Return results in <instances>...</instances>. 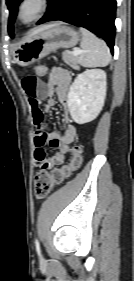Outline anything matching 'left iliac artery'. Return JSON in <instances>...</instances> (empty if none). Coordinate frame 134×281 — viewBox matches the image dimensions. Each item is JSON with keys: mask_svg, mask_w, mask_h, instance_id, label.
Segmentation results:
<instances>
[{"mask_svg": "<svg viewBox=\"0 0 134 281\" xmlns=\"http://www.w3.org/2000/svg\"><path fill=\"white\" fill-rule=\"evenodd\" d=\"M35 244H36V250L40 254V246L38 240H36Z\"/></svg>", "mask_w": 134, "mask_h": 281, "instance_id": "44dca946", "label": "left iliac artery"}]
</instances>
